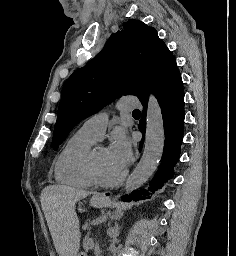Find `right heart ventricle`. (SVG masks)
<instances>
[{
	"label": "right heart ventricle",
	"mask_w": 236,
	"mask_h": 256,
	"mask_svg": "<svg viewBox=\"0 0 236 256\" xmlns=\"http://www.w3.org/2000/svg\"><path fill=\"white\" fill-rule=\"evenodd\" d=\"M96 140L77 131L67 142L55 162L56 182L80 189L91 188L90 147Z\"/></svg>",
	"instance_id": "obj_1"
}]
</instances>
